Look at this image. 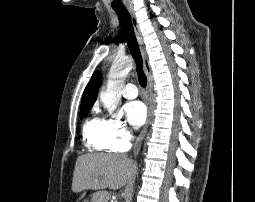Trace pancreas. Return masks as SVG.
Masks as SVG:
<instances>
[{
	"instance_id": "1",
	"label": "pancreas",
	"mask_w": 255,
	"mask_h": 202,
	"mask_svg": "<svg viewBox=\"0 0 255 202\" xmlns=\"http://www.w3.org/2000/svg\"><path fill=\"white\" fill-rule=\"evenodd\" d=\"M108 193L106 191L95 192L91 197V202H108L106 196Z\"/></svg>"
}]
</instances>
